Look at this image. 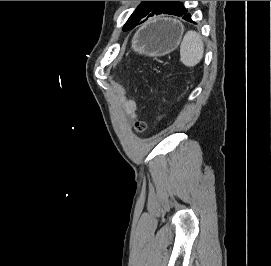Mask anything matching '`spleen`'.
I'll use <instances>...</instances> for the list:
<instances>
[{
    "instance_id": "obj_1",
    "label": "spleen",
    "mask_w": 271,
    "mask_h": 266,
    "mask_svg": "<svg viewBox=\"0 0 271 266\" xmlns=\"http://www.w3.org/2000/svg\"><path fill=\"white\" fill-rule=\"evenodd\" d=\"M204 54V44L199 33L188 31L181 42L180 60L187 67L196 66Z\"/></svg>"
}]
</instances>
